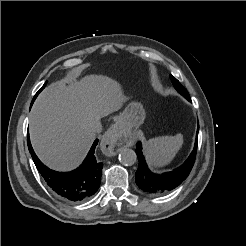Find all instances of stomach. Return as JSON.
<instances>
[{
  "mask_svg": "<svg viewBox=\"0 0 246 246\" xmlns=\"http://www.w3.org/2000/svg\"><path fill=\"white\" fill-rule=\"evenodd\" d=\"M146 113L141 103L133 101L118 117V124L127 132L136 131L144 122Z\"/></svg>",
  "mask_w": 246,
  "mask_h": 246,
  "instance_id": "obj_1",
  "label": "stomach"
}]
</instances>
